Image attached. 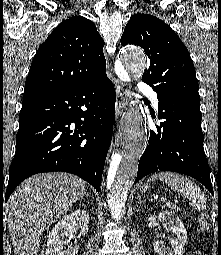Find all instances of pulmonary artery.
Segmentation results:
<instances>
[{
	"label": "pulmonary artery",
	"mask_w": 221,
	"mask_h": 255,
	"mask_svg": "<svg viewBox=\"0 0 221 255\" xmlns=\"http://www.w3.org/2000/svg\"><path fill=\"white\" fill-rule=\"evenodd\" d=\"M138 90L141 94L147 95L151 98L153 104L157 107L158 106V100L157 95L151 88V86L145 82H139L138 83Z\"/></svg>",
	"instance_id": "1"
}]
</instances>
